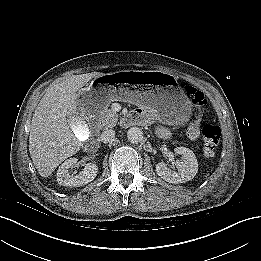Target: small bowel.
I'll use <instances>...</instances> for the list:
<instances>
[{"instance_id":"obj_1","label":"small bowel","mask_w":261,"mask_h":261,"mask_svg":"<svg viewBox=\"0 0 261 261\" xmlns=\"http://www.w3.org/2000/svg\"><path fill=\"white\" fill-rule=\"evenodd\" d=\"M131 123H141L146 122L149 119V114L146 110L143 109H137L132 112L131 114ZM157 134L162 138H167L170 135V132L165 127H159L157 129Z\"/></svg>"}]
</instances>
